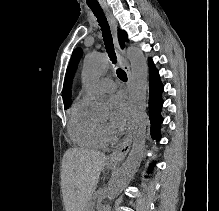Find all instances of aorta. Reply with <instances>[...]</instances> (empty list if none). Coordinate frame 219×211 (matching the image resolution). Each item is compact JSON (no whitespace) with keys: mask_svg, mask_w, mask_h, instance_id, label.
<instances>
[{"mask_svg":"<svg viewBox=\"0 0 219 211\" xmlns=\"http://www.w3.org/2000/svg\"><path fill=\"white\" fill-rule=\"evenodd\" d=\"M127 57L131 64L133 142L125 163L110 181L106 194L108 201L115 199L134 177L141 164L146 142L148 67L142 51L137 47H129ZM108 62L106 54L86 57L81 73L83 84L89 87L97 80L107 68ZM92 111L95 116L104 117L108 113V108L104 102L95 101L92 105Z\"/></svg>","mask_w":219,"mask_h":211,"instance_id":"762f6f07","label":"aorta"}]
</instances>
